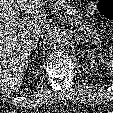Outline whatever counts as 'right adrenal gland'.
Here are the masks:
<instances>
[{
    "instance_id": "obj_1",
    "label": "right adrenal gland",
    "mask_w": 113,
    "mask_h": 113,
    "mask_svg": "<svg viewBox=\"0 0 113 113\" xmlns=\"http://www.w3.org/2000/svg\"><path fill=\"white\" fill-rule=\"evenodd\" d=\"M39 40H40V37H37V38L33 39L32 47L34 49L37 47Z\"/></svg>"
}]
</instances>
